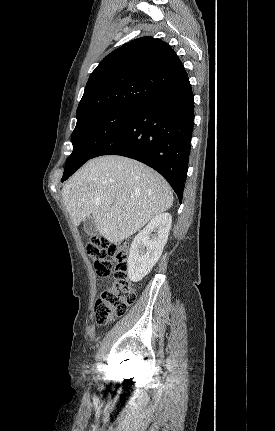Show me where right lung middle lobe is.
Instances as JSON below:
<instances>
[{
    "mask_svg": "<svg viewBox=\"0 0 275 431\" xmlns=\"http://www.w3.org/2000/svg\"><path fill=\"white\" fill-rule=\"evenodd\" d=\"M138 107H114L77 119L71 135L73 152L68 157L62 182L112 139L135 115Z\"/></svg>",
    "mask_w": 275,
    "mask_h": 431,
    "instance_id": "dd1d6c3e",
    "label": "right lung middle lobe"
}]
</instances>
